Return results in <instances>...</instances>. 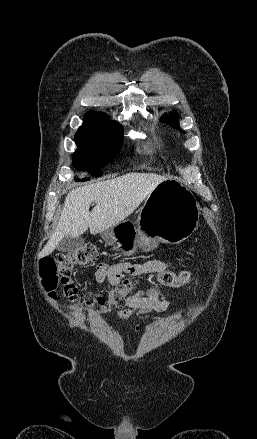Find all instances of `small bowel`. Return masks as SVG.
I'll list each match as a JSON object with an SVG mask.
<instances>
[{
    "label": "small bowel",
    "mask_w": 257,
    "mask_h": 439,
    "mask_svg": "<svg viewBox=\"0 0 257 439\" xmlns=\"http://www.w3.org/2000/svg\"><path fill=\"white\" fill-rule=\"evenodd\" d=\"M172 266L166 261L154 259L145 263H132L123 261L114 265L99 264L96 267L95 278L99 284L108 283L111 287L120 284L122 275L127 274L139 277L162 271H171ZM169 303L161 296L156 288H150L145 293L130 296L126 301V308L116 312V317L129 322V327L136 332L140 327L136 324V318L149 319L152 312H163Z\"/></svg>",
    "instance_id": "obj_1"
}]
</instances>
